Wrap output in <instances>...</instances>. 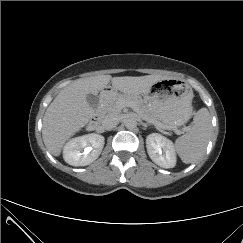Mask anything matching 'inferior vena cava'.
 Wrapping results in <instances>:
<instances>
[{"label":"inferior vena cava","instance_id":"602c4592","mask_svg":"<svg viewBox=\"0 0 243 243\" xmlns=\"http://www.w3.org/2000/svg\"><path fill=\"white\" fill-rule=\"evenodd\" d=\"M119 123V119L117 116L115 115H112V114H109V115H106L102 122H101V125H102V128L105 129V130H111L113 129L114 127H116Z\"/></svg>","mask_w":243,"mask_h":243}]
</instances>
